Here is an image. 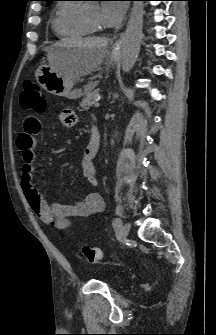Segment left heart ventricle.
Wrapping results in <instances>:
<instances>
[{
	"instance_id": "left-heart-ventricle-1",
	"label": "left heart ventricle",
	"mask_w": 216,
	"mask_h": 335,
	"mask_svg": "<svg viewBox=\"0 0 216 335\" xmlns=\"http://www.w3.org/2000/svg\"><path fill=\"white\" fill-rule=\"evenodd\" d=\"M85 12L89 20L97 27L102 28L99 18V7L97 5H90L85 9Z\"/></svg>"
}]
</instances>
